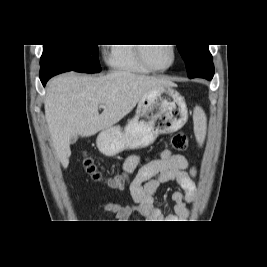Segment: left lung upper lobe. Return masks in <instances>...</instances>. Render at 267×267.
<instances>
[{
    "mask_svg": "<svg viewBox=\"0 0 267 267\" xmlns=\"http://www.w3.org/2000/svg\"><path fill=\"white\" fill-rule=\"evenodd\" d=\"M178 50L185 61L189 78H195L205 70H213L212 55L208 45H177Z\"/></svg>",
    "mask_w": 267,
    "mask_h": 267,
    "instance_id": "left-lung-upper-lobe-1",
    "label": "left lung upper lobe"
}]
</instances>
